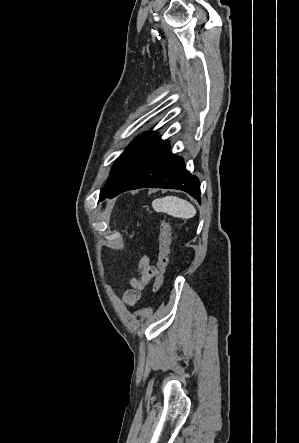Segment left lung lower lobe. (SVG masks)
I'll use <instances>...</instances> for the list:
<instances>
[{
    "label": "left lung lower lobe",
    "mask_w": 299,
    "mask_h": 443,
    "mask_svg": "<svg viewBox=\"0 0 299 443\" xmlns=\"http://www.w3.org/2000/svg\"><path fill=\"white\" fill-rule=\"evenodd\" d=\"M199 180L185 168L184 161L169 153L167 143L159 144L138 161L113 187L104 191L100 200L138 188H170L187 192L200 199Z\"/></svg>",
    "instance_id": "1"
}]
</instances>
